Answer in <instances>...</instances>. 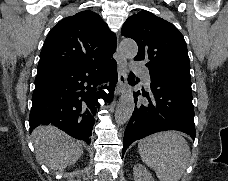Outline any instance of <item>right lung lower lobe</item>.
Listing matches in <instances>:
<instances>
[{"label": "right lung lower lobe", "instance_id": "1", "mask_svg": "<svg viewBox=\"0 0 228 181\" xmlns=\"http://www.w3.org/2000/svg\"><path fill=\"white\" fill-rule=\"evenodd\" d=\"M118 80L116 61L104 59L37 74L29 116L30 132L52 124L90 143L98 99H113ZM102 88H107L106 94Z\"/></svg>", "mask_w": 228, "mask_h": 181}]
</instances>
